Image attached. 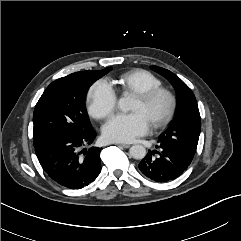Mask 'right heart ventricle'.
I'll list each match as a JSON object with an SVG mask.
<instances>
[{
	"mask_svg": "<svg viewBox=\"0 0 241 241\" xmlns=\"http://www.w3.org/2000/svg\"><path fill=\"white\" fill-rule=\"evenodd\" d=\"M116 84L123 94H138L153 88L161 87V80L149 71L135 69L121 74Z\"/></svg>",
	"mask_w": 241,
	"mask_h": 241,
	"instance_id": "1",
	"label": "right heart ventricle"
}]
</instances>
